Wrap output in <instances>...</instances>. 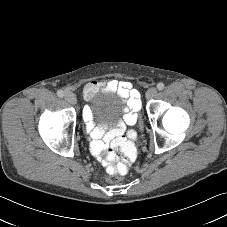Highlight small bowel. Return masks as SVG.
<instances>
[{
  "mask_svg": "<svg viewBox=\"0 0 227 227\" xmlns=\"http://www.w3.org/2000/svg\"><path fill=\"white\" fill-rule=\"evenodd\" d=\"M99 91L105 93H117L121 100L125 103L123 120L118 123V131L115 138H105L102 140L104 134V128H95L93 124V110L90 107H86L83 112L84 119L86 121V129L92 138L91 150L100 158L101 154L109 150L111 146H119L123 149L125 160L118 163V167L121 165H127L129 161L134 158V152L130 147L128 141L122 137L125 130V126H131L135 124L137 120L136 111L140 108V94L138 90L133 88V85L128 81L118 80H102L91 81L87 83L83 88V95L86 100H91ZM104 164L105 161H104Z\"/></svg>",
  "mask_w": 227,
  "mask_h": 227,
  "instance_id": "small-bowel-1",
  "label": "small bowel"
}]
</instances>
